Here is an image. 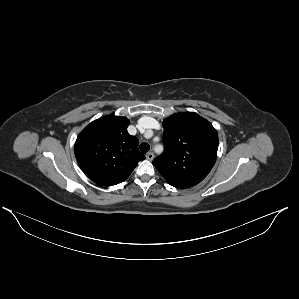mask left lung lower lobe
Wrapping results in <instances>:
<instances>
[{"mask_svg": "<svg viewBox=\"0 0 299 299\" xmlns=\"http://www.w3.org/2000/svg\"><path fill=\"white\" fill-rule=\"evenodd\" d=\"M173 186V185H172ZM174 187H177V188H188L186 186H174Z\"/></svg>", "mask_w": 299, "mask_h": 299, "instance_id": "obj_1", "label": "left lung lower lobe"}]
</instances>
